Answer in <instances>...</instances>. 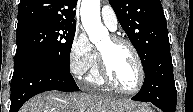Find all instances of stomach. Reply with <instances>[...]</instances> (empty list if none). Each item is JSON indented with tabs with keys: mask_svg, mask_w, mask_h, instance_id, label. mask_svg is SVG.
Segmentation results:
<instances>
[{
	"mask_svg": "<svg viewBox=\"0 0 193 112\" xmlns=\"http://www.w3.org/2000/svg\"><path fill=\"white\" fill-rule=\"evenodd\" d=\"M121 112H153L150 108L143 104H137L134 107H129Z\"/></svg>",
	"mask_w": 193,
	"mask_h": 112,
	"instance_id": "1",
	"label": "stomach"
}]
</instances>
